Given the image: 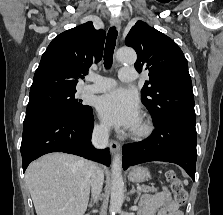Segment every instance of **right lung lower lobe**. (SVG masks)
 I'll use <instances>...</instances> for the list:
<instances>
[{
    "label": "right lung lower lobe",
    "instance_id": "1",
    "mask_svg": "<svg viewBox=\"0 0 223 215\" xmlns=\"http://www.w3.org/2000/svg\"><path fill=\"white\" fill-rule=\"evenodd\" d=\"M93 112L84 120L53 117L23 124L21 155L23 172L30 162L50 152H65L110 165L108 149L96 150L91 144Z\"/></svg>",
    "mask_w": 223,
    "mask_h": 215
}]
</instances>
